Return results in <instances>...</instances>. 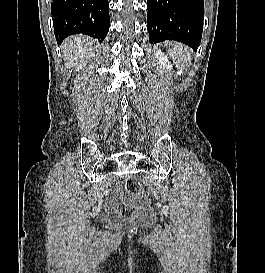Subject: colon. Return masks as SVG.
Segmentation results:
<instances>
[{"instance_id":"5ec220e1","label":"colon","mask_w":265,"mask_h":273,"mask_svg":"<svg viewBox=\"0 0 265 273\" xmlns=\"http://www.w3.org/2000/svg\"><path fill=\"white\" fill-rule=\"evenodd\" d=\"M128 197L119 204L120 217L125 221L140 222L146 213V196L136 176H129L125 181Z\"/></svg>"}]
</instances>
